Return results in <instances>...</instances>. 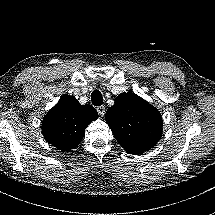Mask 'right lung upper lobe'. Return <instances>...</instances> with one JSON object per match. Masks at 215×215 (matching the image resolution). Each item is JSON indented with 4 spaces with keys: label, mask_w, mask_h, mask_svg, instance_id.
I'll return each instance as SVG.
<instances>
[{
    "label": "right lung upper lobe",
    "mask_w": 215,
    "mask_h": 215,
    "mask_svg": "<svg viewBox=\"0 0 215 215\" xmlns=\"http://www.w3.org/2000/svg\"><path fill=\"white\" fill-rule=\"evenodd\" d=\"M97 118L94 107L81 105L74 96L65 95L44 117L42 133L54 147L70 151L80 144L86 127Z\"/></svg>",
    "instance_id": "obj_1"
}]
</instances>
